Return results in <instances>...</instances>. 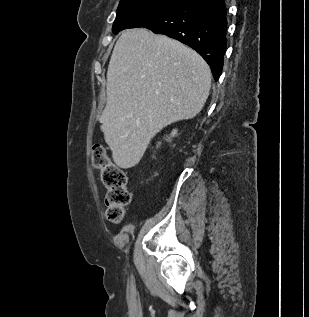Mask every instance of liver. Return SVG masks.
I'll list each match as a JSON object with an SVG mask.
<instances>
[{
  "mask_svg": "<svg viewBox=\"0 0 309 317\" xmlns=\"http://www.w3.org/2000/svg\"><path fill=\"white\" fill-rule=\"evenodd\" d=\"M211 71L194 50L144 28L119 37L107 71V103L99 121L114 162L139 163L150 140L204 107Z\"/></svg>",
  "mask_w": 309,
  "mask_h": 317,
  "instance_id": "1",
  "label": "liver"
}]
</instances>
